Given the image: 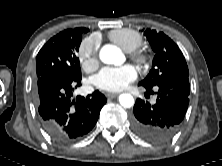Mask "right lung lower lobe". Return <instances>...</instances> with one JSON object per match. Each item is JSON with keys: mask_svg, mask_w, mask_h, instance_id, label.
Returning a JSON list of instances; mask_svg holds the SVG:
<instances>
[{"mask_svg": "<svg viewBox=\"0 0 222 166\" xmlns=\"http://www.w3.org/2000/svg\"><path fill=\"white\" fill-rule=\"evenodd\" d=\"M81 78L63 71H51L37 77L36 104L44 130L57 142L77 140L95 126L106 97L95 91L86 98L72 99Z\"/></svg>", "mask_w": 222, "mask_h": 166, "instance_id": "1", "label": "right lung lower lobe"}]
</instances>
